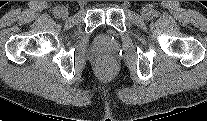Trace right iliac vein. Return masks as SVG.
<instances>
[{"instance_id":"1","label":"right iliac vein","mask_w":207,"mask_h":121,"mask_svg":"<svg viewBox=\"0 0 207 121\" xmlns=\"http://www.w3.org/2000/svg\"><path fill=\"white\" fill-rule=\"evenodd\" d=\"M62 18H66L68 16V10L65 8H61L60 9V14H59Z\"/></svg>"}]
</instances>
